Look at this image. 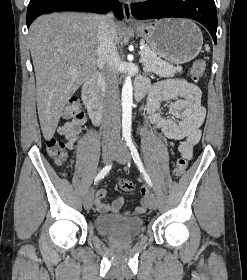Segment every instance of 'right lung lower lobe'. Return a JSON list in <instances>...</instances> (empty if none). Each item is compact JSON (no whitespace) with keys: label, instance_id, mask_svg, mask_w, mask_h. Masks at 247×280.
<instances>
[{"label":"right lung lower lobe","instance_id":"98d812e1","mask_svg":"<svg viewBox=\"0 0 247 280\" xmlns=\"http://www.w3.org/2000/svg\"><path fill=\"white\" fill-rule=\"evenodd\" d=\"M80 10L106 13L113 10L117 18L123 17L121 4L113 0H30L27 9V27L40 15L49 12Z\"/></svg>","mask_w":247,"mask_h":280}]
</instances>
